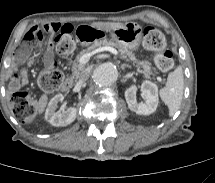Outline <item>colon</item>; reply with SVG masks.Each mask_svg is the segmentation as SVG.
I'll return each mask as SVG.
<instances>
[{
  "mask_svg": "<svg viewBox=\"0 0 215 183\" xmlns=\"http://www.w3.org/2000/svg\"><path fill=\"white\" fill-rule=\"evenodd\" d=\"M72 30L66 28L58 32L51 46L57 54H68L73 50L74 40ZM143 45L146 50L154 54L157 67L162 71H169L174 66L173 54L166 49V40L160 30L155 27H146L143 33ZM37 47L34 43L26 45L23 56ZM63 82V74L58 65L52 61L50 66L41 72L38 78L40 87L46 92L56 91ZM10 108L16 118L22 123H31L37 114V103L34 97L27 92H16L10 98Z\"/></svg>",
  "mask_w": 215,
  "mask_h": 183,
  "instance_id": "5ec220e1",
  "label": "colon"
}]
</instances>
